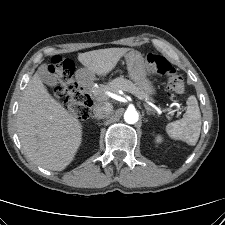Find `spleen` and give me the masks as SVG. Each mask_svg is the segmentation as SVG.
Returning <instances> with one entry per match:
<instances>
[{
  "label": "spleen",
  "instance_id": "spleen-1",
  "mask_svg": "<svg viewBox=\"0 0 225 225\" xmlns=\"http://www.w3.org/2000/svg\"><path fill=\"white\" fill-rule=\"evenodd\" d=\"M187 109L182 119L166 125V133L174 140H182L187 144L196 145L201 131V113L195 96H190Z\"/></svg>",
  "mask_w": 225,
  "mask_h": 225
}]
</instances>
